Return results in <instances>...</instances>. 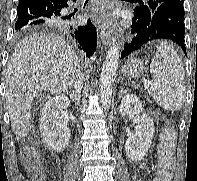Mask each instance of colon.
<instances>
[{"label": "colon", "mask_w": 197, "mask_h": 181, "mask_svg": "<svg viewBox=\"0 0 197 181\" xmlns=\"http://www.w3.org/2000/svg\"><path fill=\"white\" fill-rule=\"evenodd\" d=\"M175 138L174 126L171 124L166 125L162 131L158 150V170L152 181H171L174 169L173 146ZM26 168L35 177H42L43 175L38 153L35 149L28 151Z\"/></svg>", "instance_id": "1"}]
</instances>
